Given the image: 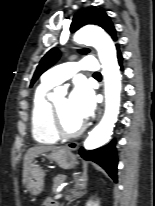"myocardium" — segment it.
Segmentation results:
<instances>
[{"label": "myocardium", "instance_id": "1", "mask_svg": "<svg viewBox=\"0 0 155 206\" xmlns=\"http://www.w3.org/2000/svg\"><path fill=\"white\" fill-rule=\"evenodd\" d=\"M51 120L54 130L59 136L62 137H75L80 135L85 130V124L81 123L79 126L73 129H68L62 122L61 116L55 103H51Z\"/></svg>", "mask_w": 155, "mask_h": 206}]
</instances>
